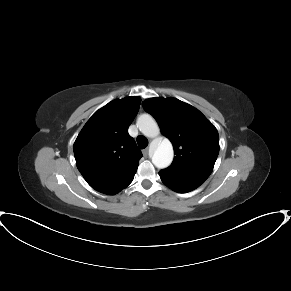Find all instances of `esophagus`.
Here are the masks:
<instances>
[{
    "mask_svg": "<svg viewBox=\"0 0 291 291\" xmlns=\"http://www.w3.org/2000/svg\"><path fill=\"white\" fill-rule=\"evenodd\" d=\"M143 154H144V156H147L148 155V149H145Z\"/></svg>",
    "mask_w": 291,
    "mask_h": 291,
    "instance_id": "obj_1",
    "label": "esophagus"
}]
</instances>
